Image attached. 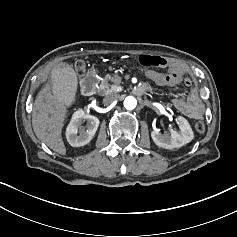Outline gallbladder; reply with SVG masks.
Segmentation results:
<instances>
[{
    "instance_id": "gallbladder-1",
    "label": "gallbladder",
    "mask_w": 237,
    "mask_h": 237,
    "mask_svg": "<svg viewBox=\"0 0 237 237\" xmlns=\"http://www.w3.org/2000/svg\"><path fill=\"white\" fill-rule=\"evenodd\" d=\"M54 77L51 79L53 92L62 105H68L75 98L77 78L70 65H56L53 68Z\"/></svg>"
}]
</instances>
